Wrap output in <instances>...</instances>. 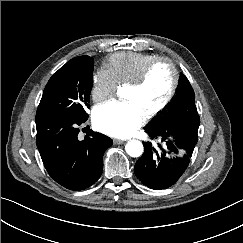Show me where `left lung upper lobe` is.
<instances>
[{"label":"left lung upper lobe","mask_w":243,"mask_h":243,"mask_svg":"<svg viewBox=\"0 0 243 243\" xmlns=\"http://www.w3.org/2000/svg\"><path fill=\"white\" fill-rule=\"evenodd\" d=\"M195 94L188 79L183 74L180 79L178 96L171 109L160 119L155 120L147 127L152 129H165L170 121L180 119L184 125H198L200 118L194 103Z\"/></svg>","instance_id":"5c2ea615"}]
</instances>
